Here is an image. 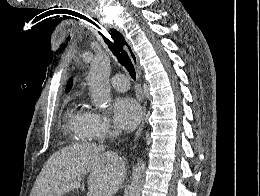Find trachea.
Segmentation results:
<instances>
[{"instance_id": "1", "label": "trachea", "mask_w": 260, "mask_h": 196, "mask_svg": "<svg viewBox=\"0 0 260 196\" xmlns=\"http://www.w3.org/2000/svg\"><path fill=\"white\" fill-rule=\"evenodd\" d=\"M104 38L105 43L113 55L116 56L118 62L126 68L130 76L135 80L136 72L127 51L124 50V45L126 42L123 35L117 30H112V33H107Z\"/></svg>"}]
</instances>
